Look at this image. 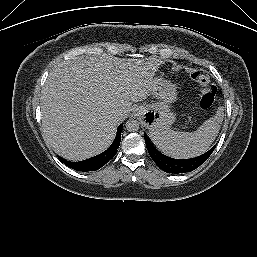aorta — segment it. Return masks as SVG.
Instances as JSON below:
<instances>
[{
	"label": "aorta",
	"instance_id": "1",
	"mask_svg": "<svg viewBox=\"0 0 257 257\" xmlns=\"http://www.w3.org/2000/svg\"><path fill=\"white\" fill-rule=\"evenodd\" d=\"M125 125H126V129L129 132H135V131H138L139 129V122L134 119L128 120Z\"/></svg>",
	"mask_w": 257,
	"mask_h": 257
}]
</instances>
